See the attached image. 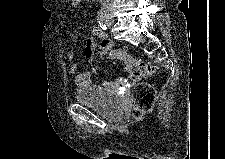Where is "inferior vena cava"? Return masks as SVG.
I'll return each instance as SVG.
<instances>
[{"label":"inferior vena cava","mask_w":225,"mask_h":159,"mask_svg":"<svg viewBox=\"0 0 225 159\" xmlns=\"http://www.w3.org/2000/svg\"><path fill=\"white\" fill-rule=\"evenodd\" d=\"M112 1L111 0H101L102 6H111Z\"/></svg>","instance_id":"1"}]
</instances>
